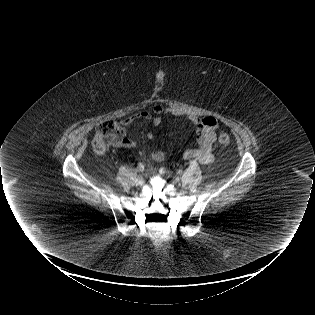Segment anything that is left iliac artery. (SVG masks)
Here are the masks:
<instances>
[{"label": "left iliac artery", "mask_w": 315, "mask_h": 315, "mask_svg": "<svg viewBox=\"0 0 315 315\" xmlns=\"http://www.w3.org/2000/svg\"><path fill=\"white\" fill-rule=\"evenodd\" d=\"M196 165V162L195 161H192L191 163H190V167H194ZM178 173L179 174H182V171H178Z\"/></svg>", "instance_id": "44dca946"}]
</instances>
